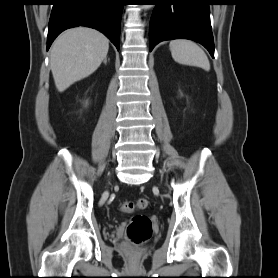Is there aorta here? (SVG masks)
<instances>
[{
	"label": "aorta",
	"instance_id": "762f6f07",
	"mask_svg": "<svg viewBox=\"0 0 278 278\" xmlns=\"http://www.w3.org/2000/svg\"><path fill=\"white\" fill-rule=\"evenodd\" d=\"M142 8H143V9H149V8H150V5H142Z\"/></svg>",
	"mask_w": 278,
	"mask_h": 278
}]
</instances>
